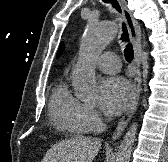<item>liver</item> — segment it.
Returning a JSON list of instances; mask_svg holds the SVG:
<instances>
[{"label": "liver", "instance_id": "liver-1", "mask_svg": "<svg viewBox=\"0 0 168 162\" xmlns=\"http://www.w3.org/2000/svg\"><path fill=\"white\" fill-rule=\"evenodd\" d=\"M100 149L98 138L65 139L52 145L41 162H92Z\"/></svg>", "mask_w": 168, "mask_h": 162}]
</instances>
